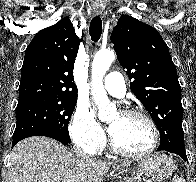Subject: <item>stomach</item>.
Masks as SVG:
<instances>
[{
    "label": "stomach",
    "mask_w": 196,
    "mask_h": 182,
    "mask_svg": "<svg viewBox=\"0 0 196 182\" xmlns=\"http://www.w3.org/2000/svg\"><path fill=\"white\" fill-rule=\"evenodd\" d=\"M174 167V162L171 157L164 153H154L150 157L140 161L135 169L137 172L146 175L150 180L161 181L172 174ZM135 169H133V171H135ZM115 170L117 171L118 168ZM127 171L128 169L120 172Z\"/></svg>",
    "instance_id": "1"
}]
</instances>
